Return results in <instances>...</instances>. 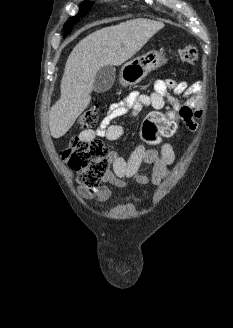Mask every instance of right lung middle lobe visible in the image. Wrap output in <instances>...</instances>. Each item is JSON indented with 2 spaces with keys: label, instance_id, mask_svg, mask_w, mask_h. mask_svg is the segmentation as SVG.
<instances>
[{
  "label": "right lung middle lobe",
  "instance_id": "1",
  "mask_svg": "<svg viewBox=\"0 0 233 328\" xmlns=\"http://www.w3.org/2000/svg\"><path fill=\"white\" fill-rule=\"evenodd\" d=\"M93 5V2H90V1H83L80 5V12L74 16V17H71L69 21H67L64 25V28H65V35H68L70 34L71 30H72V27L73 25L79 21V18L80 17H83L84 15H86V9L90 8L91 6Z\"/></svg>",
  "mask_w": 233,
  "mask_h": 328
}]
</instances>
